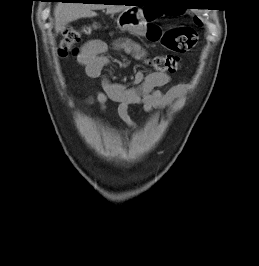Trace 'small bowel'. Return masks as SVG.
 Here are the masks:
<instances>
[{"instance_id":"small-bowel-1","label":"small bowel","mask_w":259,"mask_h":266,"mask_svg":"<svg viewBox=\"0 0 259 266\" xmlns=\"http://www.w3.org/2000/svg\"><path fill=\"white\" fill-rule=\"evenodd\" d=\"M117 47L128 51L139 59L146 55V50L131 40H125L122 45H117ZM107 50L108 44L105 41L93 39L83 45L78 58L89 77L102 76L104 92L98 93L90 101H96L102 111L106 109L108 100L116 102L119 117L132 130H135L137 125L129 114L131 105H139L145 112L151 113L154 109L170 105L188 90L186 83L176 84L166 92L159 90L171 80L167 73L159 72L144 74L138 71L130 83L113 82L104 74L110 64V57L106 54Z\"/></svg>"}]
</instances>
